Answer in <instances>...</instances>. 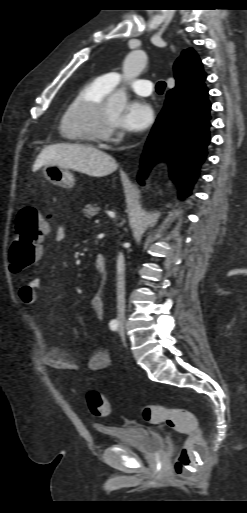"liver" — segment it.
Masks as SVG:
<instances>
[{"instance_id": "liver-1", "label": "liver", "mask_w": 247, "mask_h": 513, "mask_svg": "<svg viewBox=\"0 0 247 513\" xmlns=\"http://www.w3.org/2000/svg\"><path fill=\"white\" fill-rule=\"evenodd\" d=\"M58 165L92 177H104L117 169L115 160L93 146L81 144H53L38 155L33 172L42 166Z\"/></svg>"}]
</instances>
